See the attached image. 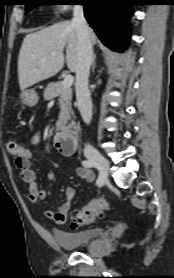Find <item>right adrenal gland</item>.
<instances>
[{"instance_id": "obj_1", "label": "right adrenal gland", "mask_w": 174, "mask_h": 278, "mask_svg": "<svg viewBox=\"0 0 174 278\" xmlns=\"http://www.w3.org/2000/svg\"><path fill=\"white\" fill-rule=\"evenodd\" d=\"M95 59H96V55H93V61H92V71L94 72V69L96 67V63H95Z\"/></svg>"}]
</instances>
